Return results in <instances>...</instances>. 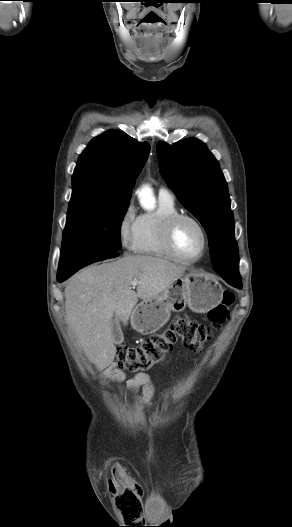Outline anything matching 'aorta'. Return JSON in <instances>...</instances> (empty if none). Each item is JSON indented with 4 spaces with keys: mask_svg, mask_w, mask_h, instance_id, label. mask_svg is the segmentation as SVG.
I'll return each mask as SVG.
<instances>
[{
    "mask_svg": "<svg viewBox=\"0 0 292 527\" xmlns=\"http://www.w3.org/2000/svg\"><path fill=\"white\" fill-rule=\"evenodd\" d=\"M141 204L146 209H153L155 207V199L153 197L152 189L149 186H143L140 193Z\"/></svg>",
    "mask_w": 292,
    "mask_h": 527,
    "instance_id": "obj_1",
    "label": "aorta"
}]
</instances>
